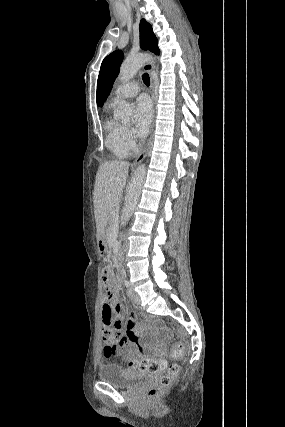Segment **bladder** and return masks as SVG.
<instances>
[{
    "label": "bladder",
    "mask_w": 285,
    "mask_h": 427,
    "mask_svg": "<svg viewBox=\"0 0 285 427\" xmlns=\"http://www.w3.org/2000/svg\"><path fill=\"white\" fill-rule=\"evenodd\" d=\"M155 377L156 374L138 370H128L113 363L103 364L98 370V379L100 381L123 388H128L137 381Z\"/></svg>",
    "instance_id": "1"
}]
</instances>
